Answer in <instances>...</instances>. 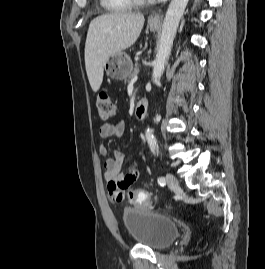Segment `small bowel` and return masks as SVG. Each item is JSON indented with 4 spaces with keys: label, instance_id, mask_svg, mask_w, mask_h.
<instances>
[{
    "label": "small bowel",
    "instance_id": "small-bowel-1",
    "mask_svg": "<svg viewBox=\"0 0 265 269\" xmlns=\"http://www.w3.org/2000/svg\"><path fill=\"white\" fill-rule=\"evenodd\" d=\"M125 130L123 120H117L113 123H104L99 128V135L102 139L112 136L120 137ZM101 155L107 156L104 162V177L108 183L111 198L114 202L123 200V190L134 184L140 176L139 163L132 159L127 173L121 171L125 155L119 150H114L110 155L108 147L101 142L98 146ZM120 190V193L118 192Z\"/></svg>",
    "mask_w": 265,
    "mask_h": 269
}]
</instances>
